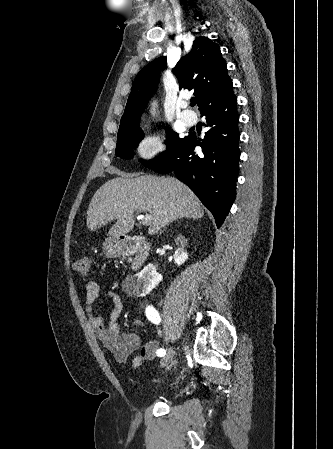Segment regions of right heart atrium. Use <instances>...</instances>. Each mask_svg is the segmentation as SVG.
<instances>
[{
  "mask_svg": "<svg viewBox=\"0 0 333 449\" xmlns=\"http://www.w3.org/2000/svg\"><path fill=\"white\" fill-rule=\"evenodd\" d=\"M165 151V139L158 134L145 135L137 144V152L145 160H156Z\"/></svg>",
  "mask_w": 333,
  "mask_h": 449,
  "instance_id": "d8ad5b80",
  "label": "right heart atrium"
}]
</instances>
